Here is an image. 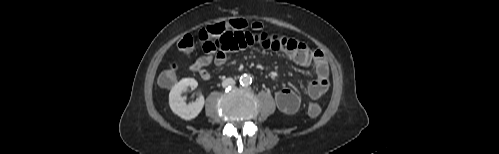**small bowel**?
I'll use <instances>...</instances> for the list:
<instances>
[{
	"label": "small bowel",
	"mask_w": 499,
	"mask_h": 154,
	"mask_svg": "<svg viewBox=\"0 0 499 154\" xmlns=\"http://www.w3.org/2000/svg\"><path fill=\"white\" fill-rule=\"evenodd\" d=\"M247 48H261L281 53L302 67L313 66L315 78L308 85L306 94L311 100L320 98L329 89V67L325 55L317 49L284 35L260 31L230 30L202 44L204 55L195 60L190 69L204 80L210 78L208 66L211 63L223 65L228 54ZM278 109L293 114L300 107V97L290 89H281L274 95Z\"/></svg>",
	"instance_id": "1"
}]
</instances>
